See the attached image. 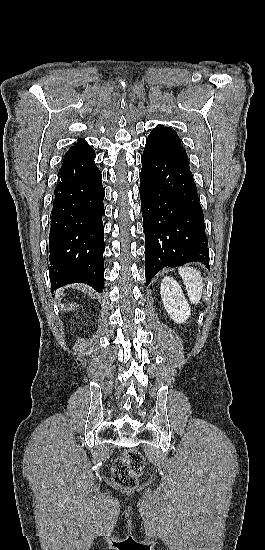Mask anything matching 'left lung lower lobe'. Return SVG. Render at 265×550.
I'll return each instance as SVG.
<instances>
[{"mask_svg":"<svg viewBox=\"0 0 265 550\" xmlns=\"http://www.w3.org/2000/svg\"><path fill=\"white\" fill-rule=\"evenodd\" d=\"M139 192L147 285L167 267L201 262L209 268L204 215L188 159L146 141Z\"/></svg>","mask_w":265,"mask_h":550,"instance_id":"left-lung-lower-lobe-1","label":"left lung lower lobe"}]
</instances>
